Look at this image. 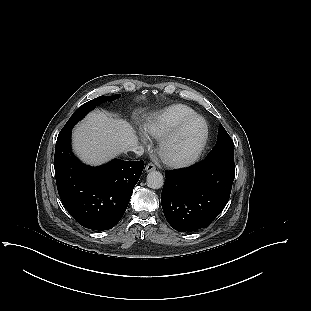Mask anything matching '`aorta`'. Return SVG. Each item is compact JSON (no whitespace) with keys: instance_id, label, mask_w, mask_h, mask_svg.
<instances>
[{"instance_id":"1","label":"aorta","mask_w":311,"mask_h":311,"mask_svg":"<svg viewBox=\"0 0 311 311\" xmlns=\"http://www.w3.org/2000/svg\"><path fill=\"white\" fill-rule=\"evenodd\" d=\"M164 184L163 175L159 171H151L147 175V185L151 189H160Z\"/></svg>"}]
</instances>
